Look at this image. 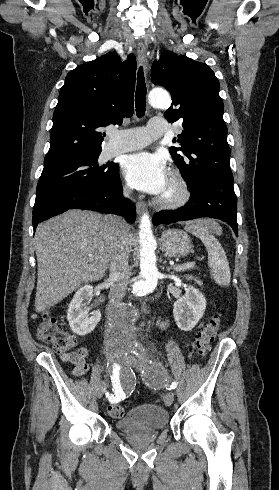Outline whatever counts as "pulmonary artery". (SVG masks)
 <instances>
[{
  "mask_svg": "<svg viewBox=\"0 0 279 490\" xmlns=\"http://www.w3.org/2000/svg\"><path fill=\"white\" fill-rule=\"evenodd\" d=\"M149 128H111V145L105 149L106 156L128 153L141 149L149 145L152 140L161 134L167 128L163 117H150L148 120Z\"/></svg>",
  "mask_w": 279,
  "mask_h": 490,
  "instance_id": "1",
  "label": "pulmonary artery"
}]
</instances>
